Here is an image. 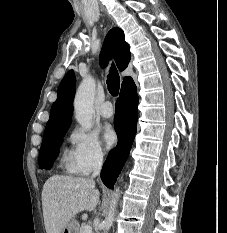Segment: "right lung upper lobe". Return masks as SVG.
I'll return each instance as SVG.
<instances>
[{
    "label": "right lung upper lobe",
    "instance_id": "1",
    "mask_svg": "<svg viewBox=\"0 0 227 233\" xmlns=\"http://www.w3.org/2000/svg\"><path fill=\"white\" fill-rule=\"evenodd\" d=\"M111 55L113 56L117 67L123 71L128 66L131 58L129 45L124 39V33L119 28L111 29L104 41L100 54L101 66H106ZM133 82L131 77H125L122 82L121 92L130 88ZM75 94V76L70 70L62 79L58 91L57 100L53 103L50 118L47 122L44 139L52 138L68 130L71 123L73 112V98Z\"/></svg>",
    "mask_w": 227,
    "mask_h": 233
}]
</instances>
